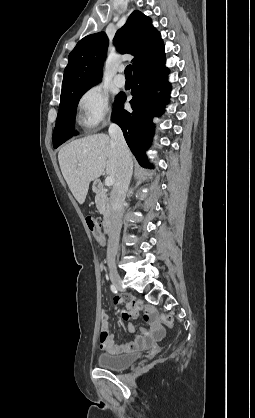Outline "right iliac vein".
<instances>
[{"mask_svg":"<svg viewBox=\"0 0 255 418\" xmlns=\"http://www.w3.org/2000/svg\"><path fill=\"white\" fill-rule=\"evenodd\" d=\"M110 279L114 286H116L118 289L122 288V280L120 275L118 274L117 270L112 268L110 270Z\"/></svg>","mask_w":255,"mask_h":418,"instance_id":"1","label":"right iliac vein"}]
</instances>
